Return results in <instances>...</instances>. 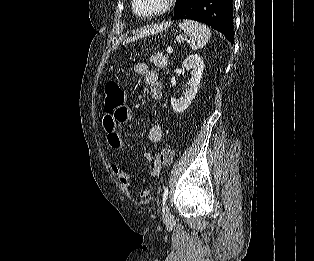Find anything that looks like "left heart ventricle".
I'll return each instance as SVG.
<instances>
[{
    "label": "left heart ventricle",
    "mask_w": 314,
    "mask_h": 261,
    "mask_svg": "<svg viewBox=\"0 0 314 261\" xmlns=\"http://www.w3.org/2000/svg\"><path fill=\"white\" fill-rule=\"evenodd\" d=\"M165 0H136V8L140 13L149 14L161 9Z\"/></svg>",
    "instance_id": "obj_1"
}]
</instances>
